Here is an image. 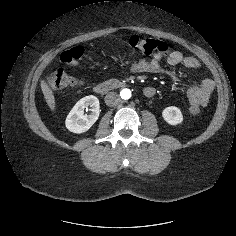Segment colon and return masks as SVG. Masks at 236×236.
Returning <instances> with one entry per match:
<instances>
[{"label":"colon","instance_id":"1","mask_svg":"<svg viewBox=\"0 0 236 236\" xmlns=\"http://www.w3.org/2000/svg\"><path fill=\"white\" fill-rule=\"evenodd\" d=\"M132 49L149 56H163L167 53L168 47L165 43L155 39L144 38L140 36H132L129 40ZM85 50L81 46H75L62 52L60 61L66 65H77L82 60ZM48 86L52 89H64L67 87H75L82 83V80L67 73L63 68H58L46 77ZM190 112L198 114L200 108L196 106L190 107Z\"/></svg>","mask_w":236,"mask_h":236}]
</instances>
